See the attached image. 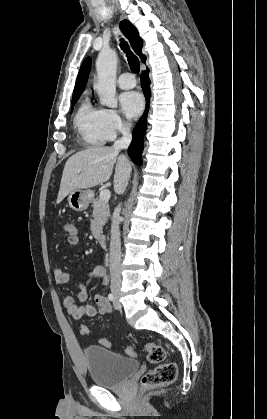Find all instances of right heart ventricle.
Listing matches in <instances>:
<instances>
[{"mask_svg": "<svg viewBox=\"0 0 267 419\" xmlns=\"http://www.w3.org/2000/svg\"><path fill=\"white\" fill-rule=\"evenodd\" d=\"M74 127L81 139L90 146L103 145L107 138L102 127V109L84 98L76 111Z\"/></svg>", "mask_w": 267, "mask_h": 419, "instance_id": "e07e8e85", "label": "right heart ventricle"}]
</instances>
